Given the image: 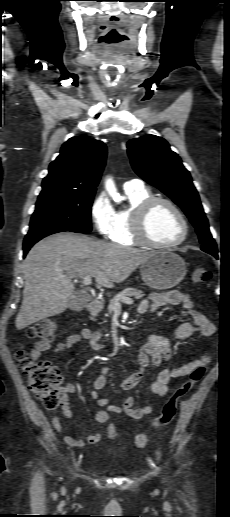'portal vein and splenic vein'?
<instances>
[{"mask_svg":"<svg viewBox=\"0 0 230 517\" xmlns=\"http://www.w3.org/2000/svg\"><path fill=\"white\" fill-rule=\"evenodd\" d=\"M91 275H87L83 278V283L84 285H91L92 283V279H91ZM120 302H123V303H126V304H133V300L131 298H128V297H125L123 298ZM120 302H116L115 303V307H120Z\"/></svg>","mask_w":230,"mask_h":517,"instance_id":"obj_1","label":"portal vein and splenic vein"}]
</instances>
